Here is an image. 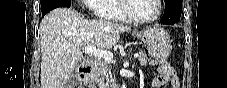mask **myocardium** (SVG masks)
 Wrapping results in <instances>:
<instances>
[{"mask_svg": "<svg viewBox=\"0 0 227 88\" xmlns=\"http://www.w3.org/2000/svg\"><path fill=\"white\" fill-rule=\"evenodd\" d=\"M131 1L132 0H122L121 1V11H122L123 15L126 17V19H128L132 23H135V24H149V23H153L161 15V10H162L161 1L160 0H155L156 6H157L156 15L154 17H152V18H149V19H138V18L134 17L129 11V3Z\"/></svg>", "mask_w": 227, "mask_h": 88, "instance_id": "f54148a6", "label": "myocardium"}]
</instances>
